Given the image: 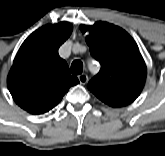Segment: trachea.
I'll return each mask as SVG.
<instances>
[{
  "mask_svg": "<svg viewBox=\"0 0 165 156\" xmlns=\"http://www.w3.org/2000/svg\"><path fill=\"white\" fill-rule=\"evenodd\" d=\"M83 71V63L80 60H75L71 64V72L72 74H81Z\"/></svg>",
  "mask_w": 165,
  "mask_h": 156,
  "instance_id": "trachea-1",
  "label": "trachea"
}]
</instances>
